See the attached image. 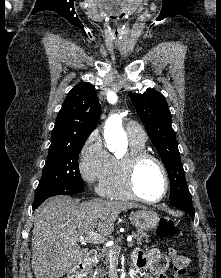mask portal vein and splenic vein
I'll list each match as a JSON object with an SVG mask.
<instances>
[{
  "label": "portal vein and splenic vein",
  "instance_id": "1",
  "mask_svg": "<svg viewBox=\"0 0 221 278\" xmlns=\"http://www.w3.org/2000/svg\"><path fill=\"white\" fill-rule=\"evenodd\" d=\"M78 241L81 243L101 244V243L105 242V238L102 235L94 232V230H91L86 237H80L78 239ZM131 244H132V242L130 241L128 245L130 246ZM109 255L113 256L114 253L112 251H110Z\"/></svg>",
  "mask_w": 221,
  "mask_h": 278
}]
</instances>
